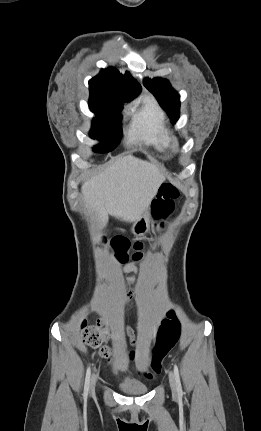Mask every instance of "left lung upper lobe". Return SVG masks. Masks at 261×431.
Here are the masks:
<instances>
[{"label":"left lung upper lobe","instance_id":"left-lung-upper-lobe-1","mask_svg":"<svg viewBox=\"0 0 261 431\" xmlns=\"http://www.w3.org/2000/svg\"><path fill=\"white\" fill-rule=\"evenodd\" d=\"M144 85L155 95L160 106L168 113L171 122L176 123L180 114V101L178 93L169 81L162 78H146Z\"/></svg>","mask_w":261,"mask_h":431}]
</instances>
